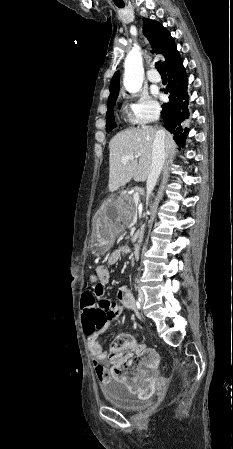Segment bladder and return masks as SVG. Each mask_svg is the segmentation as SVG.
Returning a JSON list of instances; mask_svg holds the SVG:
<instances>
[{"label":"bladder","mask_w":233,"mask_h":449,"mask_svg":"<svg viewBox=\"0 0 233 449\" xmlns=\"http://www.w3.org/2000/svg\"><path fill=\"white\" fill-rule=\"evenodd\" d=\"M103 395L112 407L120 410L133 411L147 405V401L137 399L132 390L122 384H110L104 388Z\"/></svg>","instance_id":"bladder-1"}]
</instances>
